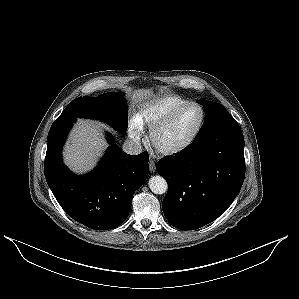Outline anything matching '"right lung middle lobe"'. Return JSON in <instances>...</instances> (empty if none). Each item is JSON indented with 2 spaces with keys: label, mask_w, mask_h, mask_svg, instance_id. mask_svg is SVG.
<instances>
[{
  "label": "right lung middle lobe",
  "mask_w": 299,
  "mask_h": 299,
  "mask_svg": "<svg viewBox=\"0 0 299 299\" xmlns=\"http://www.w3.org/2000/svg\"><path fill=\"white\" fill-rule=\"evenodd\" d=\"M127 114V103L122 93L108 92L98 97L74 99L59 117L94 118L124 133L127 130Z\"/></svg>",
  "instance_id": "obj_1"
}]
</instances>
